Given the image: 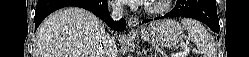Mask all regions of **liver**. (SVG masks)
<instances>
[{"mask_svg":"<svg viewBox=\"0 0 249 57\" xmlns=\"http://www.w3.org/2000/svg\"><path fill=\"white\" fill-rule=\"evenodd\" d=\"M104 23L91 12L67 7L51 14L38 28L33 57H101Z\"/></svg>","mask_w":249,"mask_h":57,"instance_id":"1","label":"liver"}]
</instances>
